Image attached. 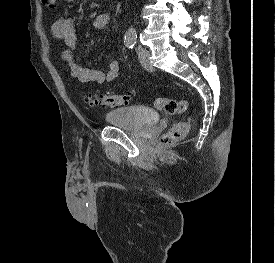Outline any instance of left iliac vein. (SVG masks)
Wrapping results in <instances>:
<instances>
[{
  "label": "left iliac vein",
  "instance_id": "left-iliac-vein-1",
  "mask_svg": "<svg viewBox=\"0 0 275 263\" xmlns=\"http://www.w3.org/2000/svg\"><path fill=\"white\" fill-rule=\"evenodd\" d=\"M138 58L144 69L152 70V65L150 61V52L148 49L144 48L143 46H139Z\"/></svg>",
  "mask_w": 275,
  "mask_h": 263
}]
</instances>
